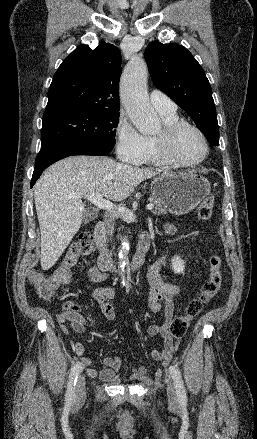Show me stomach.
I'll use <instances>...</instances> for the list:
<instances>
[{"mask_svg":"<svg viewBox=\"0 0 257 439\" xmlns=\"http://www.w3.org/2000/svg\"><path fill=\"white\" fill-rule=\"evenodd\" d=\"M210 190L209 181L193 172L161 174L151 184L152 194L175 215L193 211L209 195Z\"/></svg>","mask_w":257,"mask_h":439,"instance_id":"stomach-1","label":"stomach"}]
</instances>
